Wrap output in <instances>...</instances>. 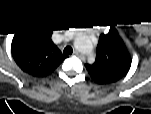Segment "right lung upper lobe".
<instances>
[{
  "label": "right lung upper lobe",
  "instance_id": "obj_1",
  "mask_svg": "<svg viewBox=\"0 0 151 114\" xmlns=\"http://www.w3.org/2000/svg\"><path fill=\"white\" fill-rule=\"evenodd\" d=\"M11 50L17 65L36 77L52 73L65 59L49 32L42 28L27 29L15 35Z\"/></svg>",
  "mask_w": 151,
  "mask_h": 114
}]
</instances>
